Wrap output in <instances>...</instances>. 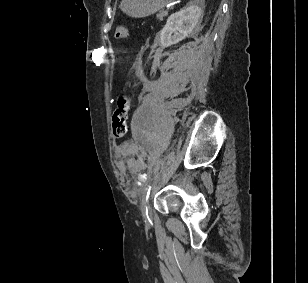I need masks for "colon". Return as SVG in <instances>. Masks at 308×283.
Returning a JSON list of instances; mask_svg holds the SVG:
<instances>
[{
    "label": "colon",
    "instance_id": "1",
    "mask_svg": "<svg viewBox=\"0 0 308 283\" xmlns=\"http://www.w3.org/2000/svg\"><path fill=\"white\" fill-rule=\"evenodd\" d=\"M129 36V30L126 27H118L115 31V37L125 39ZM130 99L127 96H120L112 114V132L115 138L125 137L128 129V115L130 110Z\"/></svg>",
    "mask_w": 308,
    "mask_h": 283
}]
</instances>
